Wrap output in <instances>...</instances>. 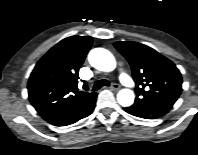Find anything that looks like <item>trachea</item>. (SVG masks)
Instances as JSON below:
<instances>
[{"label": "trachea", "mask_w": 198, "mask_h": 155, "mask_svg": "<svg viewBox=\"0 0 198 155\" xmlns=\"http://www.w3.org/2000/svg\"><path fill=\"white\" fill-rule=\"evenodd\" d=\"M103 86H110V82L106 79L98 80L95 82L92 91H97Z\"/></svg>", "instance_id": "obj_1"}]
</instances>
